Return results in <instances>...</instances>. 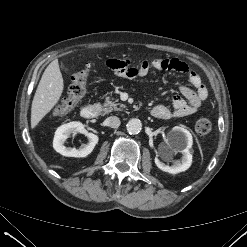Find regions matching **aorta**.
<instances>
[{"mask_svg": "<svg viewBox=\"0 0 247 247\" xmlns=\"http://www.w3.org/2000/svg\"><path fill=\"white\" fill-rule=\"evenodd\" d=\"M126 128L129 134L136 135L140 133L142 129V123L139 119L133 118L128 121Z\"/></svg>", "mask_w": 247, "mask_h": 247, "instance_id": "obj_1", "label": "aorta"}]
</instances>
